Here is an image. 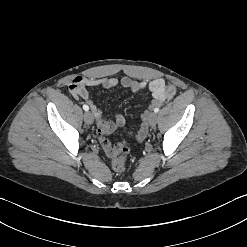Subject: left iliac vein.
<instances>
[{"mask_svg":"<svg viewBox=\"0 0 247 247\" xmlns=\"http://www.w3.org/2000/svg\"><path fill=\"white\" fill-rule=\"evenodd\" d=\"M148 122L150 126H155L157 122V114L155 112L150 113L148 117Z\"/></svg>","mask_w":247,"mask_h":247,"instance_id":"left-iliac-vein-1","label":"left iliac vein"}]
</instances>
